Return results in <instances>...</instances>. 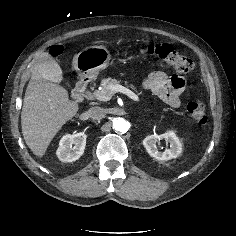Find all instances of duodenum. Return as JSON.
Returning <instances> with one entry per match:
<instances>
[{
	"label": "duodenum",
	"mask_w": 236,
	"mask_h": 236,
	"mask_svg": "<svg viewBox=\"0 0 236 236\" xmlns=\"http://www.w3.org/2000/svg\"><path fill=\"white\" fill-rule=\"evenodd\" d=\"M88 80L86 78H81L76 83V86L73 91V98L77 101H82L86 95L88 88Z\"/></svg>",
	"instance_id": "obj_1"
}]
</instances>
